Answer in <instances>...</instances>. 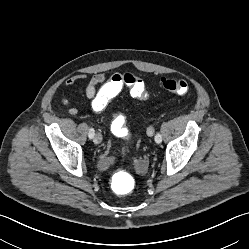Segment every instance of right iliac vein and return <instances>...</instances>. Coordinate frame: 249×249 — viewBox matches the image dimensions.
Here are the masks:
<instances>
[{"instance_id": "63e3f726", "label": "right iliac vein", "mask_w": 249, "mask_h": 249, "mask_svg": "<svg viewBox=\"0 0 249 249\" xmlns=\"http://www.w3.org/2000/svg\"><path fill=\"white\" fill-rule=\"evenodd\" d=\"M95 144H99L102 142V135L100 133H96L93 139Z\"/></svg>"}]
</instances>
